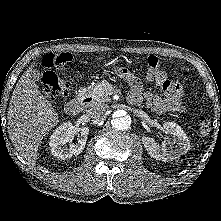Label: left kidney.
I'll return each mask as SVG.
<instances>
[{"label": "left kidney", "instance_id": "5707ae66", "mask_svg": "<svg viewBox=\"0 0 221 221\" xmlns=\"http://www.w3.org/2000/svg\"><path fill=\"white\" fill-rule=\"evenodd\" d=\"M163 127L166 133L171 134V137L166 138L161 145L151 137H142V143L149 155L156 160L166 162L187 153L190 141L183 129L174 122H165Z\"/></svg>", "mask_w": 221, "mask_h": 221}]
</instances>
